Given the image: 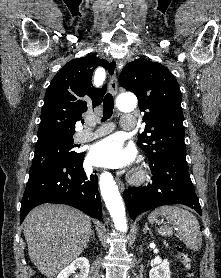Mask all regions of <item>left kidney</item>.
Returning a JSON list of instances; mask_svg holds the SVG:
<instances>
[{
    "mask_svg": "<svg viewBox=\"0 0 221 278\" xmlns=\"http://www.w3.org/2000/svg\"><path fill=\"white\" fill-rule=\"evenodd\" d=\"M171 272L169 261L164 259L158 266L152 268L149 272L150 278H170Z\"/></svg>",
    "mask_w": 221,
    "mask_h": 278,
    "instance_id": "5707ae66",
    "label": "left kidney"
}]
</instances>
